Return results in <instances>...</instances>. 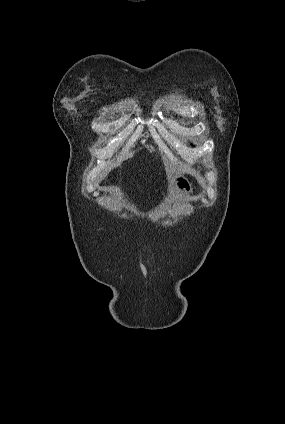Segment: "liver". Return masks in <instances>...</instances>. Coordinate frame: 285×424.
I'll list each match as a JSON object with an SVG mask.
<instances>
[{
	"label": "liver",
	"instance_id": "obj_1",
	"mask_svg": "<svg viewBox=\"0 0 285 424\" xmlns=\"http://www.w3.org/2000/svg\"><path fill=\"white\" fill-rule=\"evenodd\" d=\"M168 164V163H167ZM166 173H167V177H168V179H171V177L173 176V174H174V168L171 166L170 168L169 167H167L166 168Z\"/></svg>",
	"mask_w": 285,
	"mask_h": 424
}]
</instances>
